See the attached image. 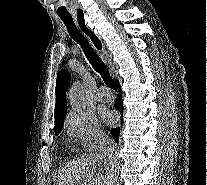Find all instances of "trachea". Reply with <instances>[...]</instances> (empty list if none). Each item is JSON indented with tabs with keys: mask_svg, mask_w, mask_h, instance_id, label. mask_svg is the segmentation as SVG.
<instances>
[{
	"mask_svg": "<svg viewBox=\"0 0 207 185\" xmlns=\"http://www.w3.org/2000/svg\"><path fill=\"white\" fill-rule=\"evenodd\" d=\"M60 18L66 25L69 35L73 38V40H75L81 46L87 59L89 60L93 68L96 71H98L100 75L103 77V80L106 83V85L110 88H113V90H117L115 82L111 78L107 67L104 65L102 60L98 57V55H96L88 40L77 29L74 21L71 18H65V17H60ZM80 25H81V30L96 42V46L98 49H101V42L96 37V35L86 27L84 22H82Z\"/></svg>",
	"mask_w": 207,
	"mask_h": 185,
	"instance_id": "3493384b",
	"label": "trachea"
}]
</instances>
